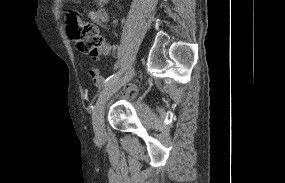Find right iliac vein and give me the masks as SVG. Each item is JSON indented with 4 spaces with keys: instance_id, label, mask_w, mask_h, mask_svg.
<instances>
[{
    "instance_id": "obj_1",
    "label": "right iliac vein",
    "mask_w": 285,
    "mask_h": 183,
    "mask_svg": "<svg viewBox=\"0 0 285 183\" xmlns=\"http://www.w3.org/2000/svg\"><path fill=\"white\" fill-rule=\"evenodd\" d=\"M133 75L134 69L131 68L122 78L117 79L113 83L107 85L100 93L93 111V125L95 133L99 138H103L105 135L104 110L107 101L109 100L110 96L127 81H129Z\"/></svg>"
}]
</instances>
